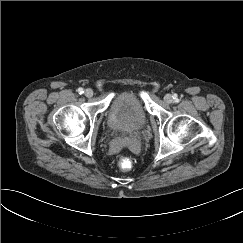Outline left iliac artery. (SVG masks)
I'll return each mask as SVG.
<instances>
[{
    "label": "left iliac artery",
    "instance_id": "left-iliac-artery-1",
    "mask_svg": "<svg viewBox=\"0 0 243 243\" xmlns=\"http://www.w3.org/2000/svg\"><path fill=\"white\" fill-rule=\"evenodd\" d=\"M174 99H176V100L178 99L176 95H175Z\"/></svg>",
    "mask_w": 243,
    "mask_h": 243
}]
</instances>
